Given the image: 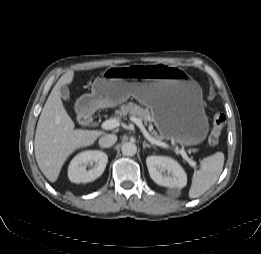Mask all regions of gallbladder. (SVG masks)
<instances>
[{
  "mask_svg": "<svg viewBox=\"0 0 261 254\" xmlns=\"http://www.w3.org/2000/svg\"><path fill=\"white\" fill-rule=\"evenodd\" d=\"M60 95L64 100H69L70 99V92L67 86H62L60 88Z\"/></svg>",
  "mask_w": 261,
  "mask_h": 254,
  "instance_id": "1",
  "label": "gallbladder"
}]
</instances>
